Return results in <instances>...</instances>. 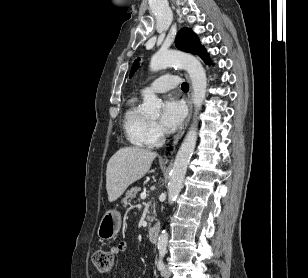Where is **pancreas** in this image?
I'll list each match as a JSON object with an SVG mask.
<instances>
[{"label": "pancreas", "instance_id": "pancreas-1", "mask_svg": "<svg viewBox=\"0 0 308 278\" xmlns=\"http://www.w3.org/2000/svg\"><path fill=\"white\" fill-rule=\"evenodd\" d=\"M139 188L138 187H133L130 190L127 191L125 197L122 200L123 206H127L131 204V201L133 198L136 197V195L139 192ZM153 219L151 218L150 221H152Z\"/></svg>", "mask_w": 308, "mask_h": 278}]
</instances>
